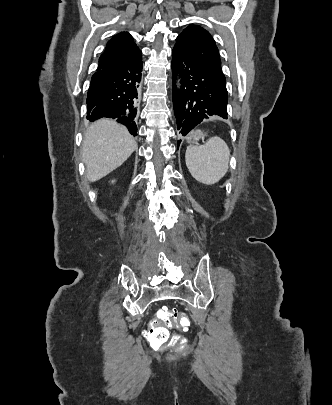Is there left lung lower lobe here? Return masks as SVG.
Here are the masks:
<instances>
[{
    "mask_svg": "<svg viewBox=\"0 0 332 405\" xmlns=\"http://www.w3.org/2000/svg\"><path fill=\"white\" fill-rule=\"evenodd\" d=\"M173 80L180 74L181 88L173 89L174 114L179 133L185 136L203 120L227 119L226 83L207 65L181 48L172 51ZM175 83V81H173ZM181 140L178 141V147Z\"/></svg>",
    "mask_w": 332,
    "mask_h": 405,
    "instance_id": "obj_1",
    "label": "left lung lower lobe"
}]
</instances>
